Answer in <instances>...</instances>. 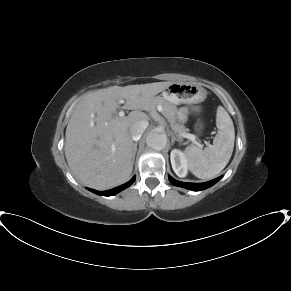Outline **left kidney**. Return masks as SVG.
<instances>
[{
    "mask_svg": "<svg viewBox=\"0 0 291 291\" xmlns=\"http://www.w3.org/2000/svg\"><path fill=\"white\" fill-rule=\"evenodd\" d=\"M171 165L178 177H186L188 172V160L185 154L178 150L173 149L170 154Z\"/></svg>",
    "mask_w": 291,
    "mask_h": 291,
    "instance_id": "obj_1",
    "label": "left kidney"
}]
</instances>
